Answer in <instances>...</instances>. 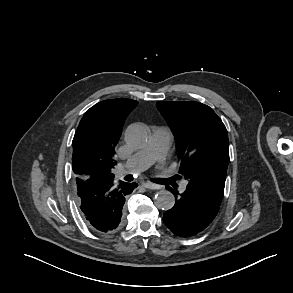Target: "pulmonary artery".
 <instances>
[{"label":"pulmonary artery","mask_w":293,"mask_h":293,"mask_svg":"<svg viewBox=\"0 0 293 293\" xmlns=\"http://www.w3.org/2000/svg\"><path fill=\"white\" fill-rule=\"evenodd\" d=\"M173 141V134L167 127H158L153 131L152 138L147 146L135 153L119 168V175L128 173H138L154 162H162L165 159L167 150ZM187 182H183L181 188L186 187Z\"/></svg>","instance_id":"1"}]
</instances>
